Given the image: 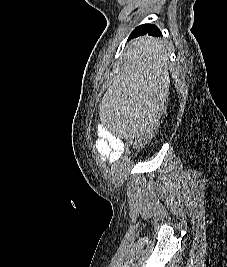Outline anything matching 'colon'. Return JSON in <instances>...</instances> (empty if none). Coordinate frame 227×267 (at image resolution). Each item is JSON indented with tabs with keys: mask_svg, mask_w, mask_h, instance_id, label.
<instances>
[{
	"mask_svg": "<svg viewBox=\"0 0 227 267\" xmlns=\"http://www.w3.org/2000/svg\"><path fill=\"white\" fill-rule=\"evenodd\" d=\"M156 118H162L163 114L160 113V115H154ZM162 127V121L156 120L155 123L152 125V130H148L147 133L140 138L139 140H136L135 148L131 150V152L128 155V160H135V158H140V156L143 155L144 152L147 151V146L150 144V140H154V136L157 135L156 131H160Z\"/></svg>",
	"mask_w": 227,
	"mask_h": 267,
	"instance_id": "5ec220e1",
	"label": "colon"
}]
</instances>
